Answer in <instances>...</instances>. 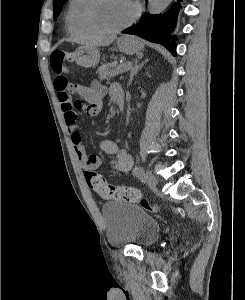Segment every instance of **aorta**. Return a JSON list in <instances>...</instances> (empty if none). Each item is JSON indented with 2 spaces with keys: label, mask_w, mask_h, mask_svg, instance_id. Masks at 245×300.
<instances>
[{
  "label": "aorta",
  "mask_w": 245,
  "mask_h": 300,
  "mask_svg": "<svg viewBox=\"0 0 245 300\" xmlns=\"http://www.w3.org/2000/svg\"><path fill=\"white\" fill-rule=\"evenodd\" d=\"M172 0H148V11L150 14H159L163 12Z\"/></svg>",
  "instance_id": "obj_1"
}]
</instances>
